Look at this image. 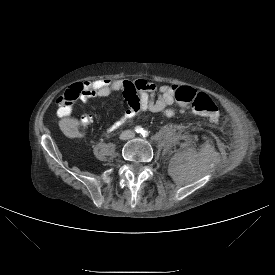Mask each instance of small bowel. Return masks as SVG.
I'll use <instances>...</instances> for the list:
<instances>
[{"label":"small bowel","instance_id":"c3829d8e","mask_svg":"<svg viewBox=\"0 0 275 275\" xmlns=\"http://www.w3.org/2000/svg\"><path fill=\"white\" fill-rule=\"evenodd\" d=\"M177 89L178 86L175 84L157 86L145 79L128 81L101 78L78 82L70 90H77L82 101H88L96 97H106L114 92L123 91V96L128 101L129 108L117 120L108 125V131L111 132L117 130L125 121L133 118L140 111L164 112L167 116H172L174 110L171 107L175 102ZM58 115L60 118L56 123L57 129L74 138L80 137L84 131L83 127L88 126L93 121L90 114H83L80 122L59 112Z\"/></svg>","mask_w":275,"mask_h":275}]
</instances>
